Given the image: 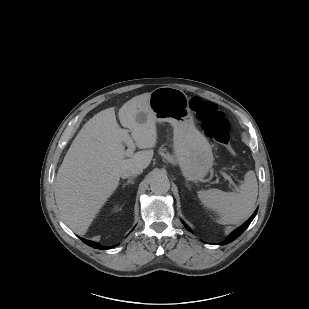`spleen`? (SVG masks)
<instances>
[{
  "label": "spleen",
  "instance_id": "obj_1",
  "mask_svg": "<svg viewBox=\"0 0 309 309\" xmlns=\"http://www.w3.org/2000/svg\"><path fill=\"white\" fill-rule=\"evenodd\" d=\"M197 195L206 208L219 214L220 222L237 224L254 210L258 196L257 179L253 171H248L237 192L209 189L198 191Z\"/></svg>",
  "mask_w": 309,
  "mask_h": 309
}]
</instances>
